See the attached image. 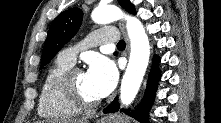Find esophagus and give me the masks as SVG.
Listing matches in <instances>:
<instances>
[{
  "label": "esophagus",
  "instance_id": "esophagus-1",
  "mask_svg": "<svg viewBox=\"0 0 221 123\" xmlns=\"http://www.w3.org/2000/svg\"><path fill=\"white\" fill-rule=\"evenodd\" d=\"M119 28L121 29V31H122L123 34H124V37H125L126 43H127V50H129V39H128L127 34H126L124 24L120 22V23H119Z\"/></svg>",
  "mask_w": 221,
  "mask_h": 123
}]
</instances>
